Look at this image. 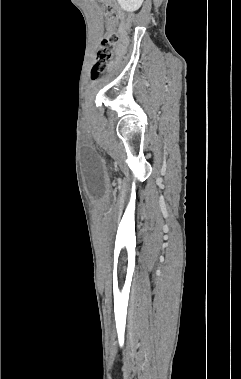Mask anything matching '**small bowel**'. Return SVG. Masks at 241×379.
Wrapping results in <instances>:
<instances>
[{
	"label": "small bowel",
	"mask_w": 241,
	"mask_h": 379,
	"mask_svg": "<svg viewBox=\"0 0 241 379\" xmlns=\"http://www.w3.org/2000/svg\"><path fill=\"white\" fill-rule=\"evenodd\" d=\"M121 29H122V30L124 29V24L121 25Z\"/></svg>",
	"instance_id": "c3829d8e"
}]
</instances>
